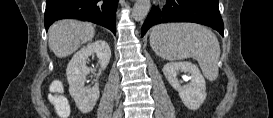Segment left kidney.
<instances>
[{
	"label": "left kidney",
	"instance_id": "5707ae66",
	"mask_svg": "<svg viewBox=\"0 0 273 118\" xmlns=\"http://www.w3.org/2000/svg\"><path fill=\"white\" fill-rule=\"evenodd\" d=\"M179 71L190 76V83L181 85L177 78ZM163 73L188 109L197 110L203 104L207 96L206 83L196 65L190 62H170L163 67Z\"/></svg>",
	"mask_w": 273,
	"mask_h": 118
}]
</instances>
